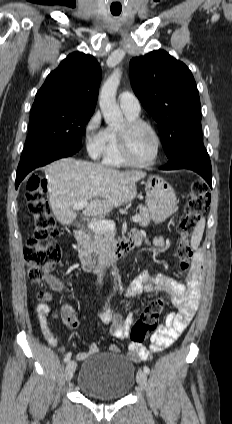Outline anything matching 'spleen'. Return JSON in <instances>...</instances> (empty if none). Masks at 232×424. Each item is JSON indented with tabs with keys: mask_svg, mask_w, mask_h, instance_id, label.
<instances>
[{
	"mask_svg": "<svg viewBox=\"0 0 232 424\" xmlns=\"http://www.w3.org/2000/svg\"><path fill=\"white\" fill-rule=\"evenodd\" d=\"M205 228V218L202 217L196 224L192 237H191V247L197 249L202 240L203 232Z\"/></svg>",
	"mask_w": 232,
	"mask_h": 424,
	"instance_id": "1",
	"label": "spleen"
}]
</instances>
